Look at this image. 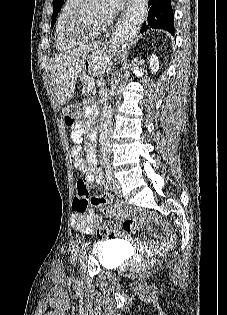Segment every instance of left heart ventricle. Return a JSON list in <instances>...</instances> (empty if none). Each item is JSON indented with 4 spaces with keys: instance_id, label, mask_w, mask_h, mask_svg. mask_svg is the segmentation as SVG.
<instances>
[{
    "instance_id": "left-heart-ventricle-1",
    "label": "left heart ventricle",
    "mask_w": 227,
    "mask_h": 315,
    "mask_svg": "<svg viewBox=\"0 0 227 315\" xmlns=\"http://www.w3.org/2000/svg\"><path fill=\"white\" fill-rule=\"evenodd\" d=\"M101 0H89L87 7L88 22L93 25H99L104 22L100 13Z\"/></svg>"
}]
</instances>
